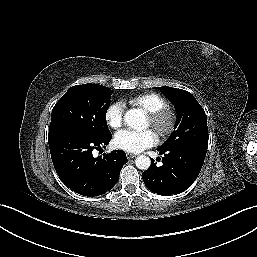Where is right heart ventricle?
<instances>
[{"instance_id":"obj_1","label":"right heart ventricle","mask_w":257,"mask_h":257,"mask_svg":"<svg viewBox=\"0 0 257 257\" xmlns=\"http://www.w3.org/2000/svg\"><path fill=\"white\" fill-rule=\"evenodd\" d=\"M128 102L144 112L151 113L167 105L166 99L156 92H146L136 95L128 100Z\"/></svg>"}]
</instances>
